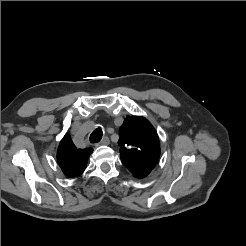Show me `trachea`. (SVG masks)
<instances>
[{"label":"trachea","instance_id":"1","mask_svg":"<svg viewBox=\"0 0 246 246\" xmlns=\"http://www.w3.org/2000/svg\"><path fill=\"white\" fill-rule=\"evenodd\" d=\"M102 135H103V132H102L101 128L95 129L90 135V142L91 143H98L101 140Z\"/></svg>","mask_w":246,"mask_h":246}]
</instances>
